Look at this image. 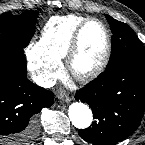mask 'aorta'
<instances>
[{
  "instance_id": "obj_1",
  "label": "aorta",
  "mask_w": 145,
  "mask_h": 145,
  "mask_svg": "<svg viewBox=\"0 0 145 145\" xmlns=\"http://www.w3.org/2000/svg\"><path fill=\"white\" fill-rule=\"evenodd\" d=\"M68 115L71 123L78 129L88 128L93 121L92 111L81 102H74L69 106Z\"/></svg>"
}]
</instances>
